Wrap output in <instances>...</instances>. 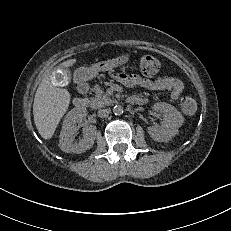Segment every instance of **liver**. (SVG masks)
I'll use <instances>...</instances> for the list:
<instances>
[{"instance_id": "liver-1", "label": "liver", "mask_w": 231, "mask_h": 231, "mask_svg": "<svg viewBox=\"0 0 231 231\" xmlns=\"http://www.w3.org/2000/svg\"><path fill=\"white\" fill-rule=\"evenodd\" d=\"M76 59H69L62 63L63 67H70ZM70 104V94L67 89L57 88L46 76L39 84L34 97L33 116L36 128L44 139H50L61 118Z\"/></svg>"}]
</instances>
